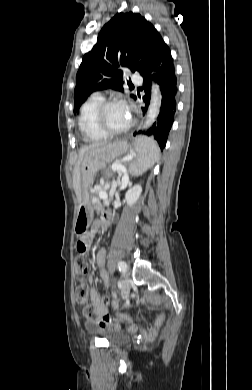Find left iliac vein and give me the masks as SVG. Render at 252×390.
Returning <instances> with one entry per match:
<instances>
[{"label": "left iliac vein", "mask_w": 252, "mask_h": 390, "mask_svg": "<svg viewBox=\"0 0 252 390\" xmlns=\"http://www.w3.org/2000/svg\"><path fill=\"white\" fill-rule=\"evenodd\" d=\"M130 289H131V281L128 275H125L124 279L122 280V289H121V295L123 299H126L128 297Z\"/></svg>", "instance_id": "left-iliac-vein-1"}]
</instances>
